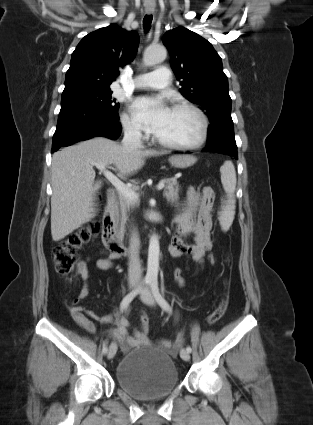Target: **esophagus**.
<instances>
[{
    "instance_id": "1",
    "label": "esophagus",
    "mask_w": 313,
    "mask_h": 425,
    "mask_svg": "<svg viewBox=\"0 0 313 425\" xmlns=\"http://www.w3.org/2000/svg\"><path fill=\"white\" fill-rule=\"evenodd\" d=\"M153 11H154V8L153 7L148 6V7L145 8V12L147 14H151Z\"/></svg>"
}]
</instances>
